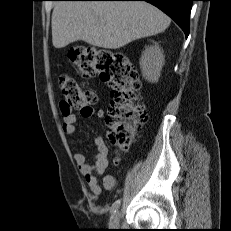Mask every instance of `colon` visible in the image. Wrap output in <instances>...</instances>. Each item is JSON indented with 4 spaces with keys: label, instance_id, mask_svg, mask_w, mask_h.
<instances>
[{
    "label": "colon",
    "instance_id": "1",
    "mask_svg": "<svg viewBox=\"0 0 231 231\" xmlns=\"http://www.w3.org/2000/svg\"><path fill=\"white\" fill-rule=\"evenodd\" d=\"M70 59L85 79L99 75L111 89V105L107 115L111 142L120 150L129 149L135 137V130L141 128L148 115L139 102L141 83L129 58L120 51L89 47L73 50ZM63 96L61 109L65 115L75 109L86 110L97 102V95L83 88L68 75L59 76Z\"/></svg>",
    "mask_w": 231,
    "mask_h": 231
}]
</instances>
